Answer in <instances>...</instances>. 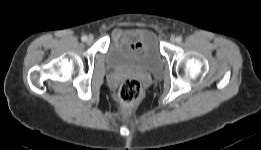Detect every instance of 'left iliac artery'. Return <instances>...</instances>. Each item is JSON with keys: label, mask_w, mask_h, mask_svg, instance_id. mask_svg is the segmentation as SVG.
<instances>
[{"label": "left iliac artery", "mask_w": 261, "mask_h": 150, "mask_svg": "<svg viewBox=\"0 0 261 150\" xmlns=\"http://www.w3.org/2000/svg\"><path fill=\"white\" fill-rule=\"evenodd\" d=\"M182 41V38L180 36L176 37V42L180 43Z\"/></svg>", "instance_id": "1"}]
</instances>
